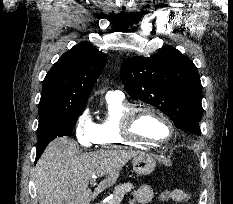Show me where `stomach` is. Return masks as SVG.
I'll return each mask as SVG.
<instances>
[{
	"mask_svg": "<svg viewBox=\"0 0 233 204\" xmlns=\"http://www.w3.org/2000/svg\"><path fill=\"white\" fill-rule=\"evenodd\" d=\"M132 165L138 175H149L154 171L156 161L150 155L142 153L133 158Z\"/></svg>",
	"mask_w": 233,
	"mask_h": 204,
	"instance_id": "1",
	"label": "stomach"
}]
</instances>
